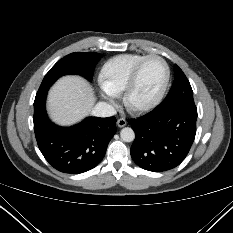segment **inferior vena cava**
Wrapping results in <instances>:
<instances>
[{
  "instance_id": "1",
  "label": "inferior vena cava",
  "mask_w": 233,
  "mask_h": 233,
  "mask_svg": "<svg viewBox=\"0 0 233 233\" xmlns=\"http://www.w3.org/2000/svg\"><path fill=\"white\" fill-rule=\"evenodd\" d=\"M91 113L96 117H110L116 114V110L112 105L106 102H98Z\"/></svg>"
}]
</instances>
